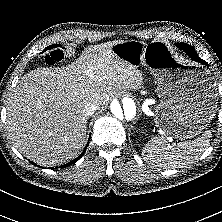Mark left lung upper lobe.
<instances>
[{"instance_id": "5c2ea615", "label": "left lung upper lobe", "mask_w": 222, "mask_h": 222, "mask_svg": "<svg viewBox=\"0 0 222 222\" xmlns=\"http://www.w3.org/2000/svg\"><path fill=\"white\" fill-rule=\"evenodd\" d=\"M176 46L178 48H180L181 50H183L186 54L187 53H193V54L197 55L195 49L191 45H189V44H186V43H176Z\"/></svg>"}]
</instances>
